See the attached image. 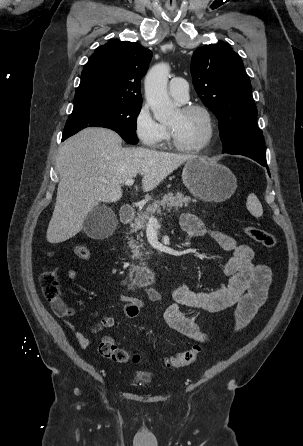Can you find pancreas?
I'll return each mask as SVG.
<instances>
[{
	"mask_svg": "<svg viewBox=\"0 0 303 446\" xmlns=\"http://www.w3.org/2000/svg\"><path fill=\"white\" fill-rule=\"evenodd\" d=\"M191 201L190 196H186L181 192L177 193H167L162 197V200H157L153 204H149L147 208L138 214V217L135 219L134 224L132 225L131 232L140 231L139 235H142V230L146 229V225L148 223L149 217L152 214H161V211L168 210L169 212L174 209L177 211L179 208L183 206H187ZM137 235V241L133 238H130L128 243L129 247L132 249L133 257L141 259L144 254L148 255L149 252H143L144 250L143 244L139 243L140 237Z\"/></svg>",
	"mask_w": 303,
	"mask_h": 446,
	"instance_id": "obj_1",
	"label": "pancreas"
}]
</instances>
